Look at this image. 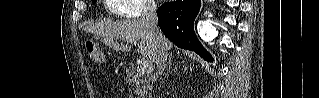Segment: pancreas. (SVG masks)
I'll list each match as a JSON object with an SVG mask.
<instances>
[{
    "label": "pancreas",
    "mask_w": 319,
    "mask_h": 98,
    "mask_svg": "<svg viewBox=\"0 0 319 98\" xmlns=\"http://www.w3.org/2000/svg\"><path fill=\"white\" fill-rule=\"evenodd\" d=\"M127 74L131 78V81L135 83L136 93L139 97H143L144 95L147 97L152 94L153 86L149 74L136 71L133 64L127 70Z\"/></svg>",
    "instance_id": "1"
}]
</instances>
